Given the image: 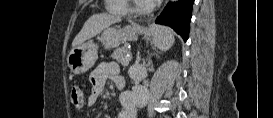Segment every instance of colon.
I'll list each match as a JSON object with an SVG mask.
<instances>
[{
    "mask_svg": "<svg viewBox=\"0 0 273 118\" xmlns=\"http://www.w3.org/2000/svg\"><path fill=\"white\" fill-rule=\"evenodd\" d=\"M70 100L74 108L80 109L84 105V93L80 86L74 85L71 89Z\"/></svg>",
    "mask_w": 273,
    "mask_h": 118,
    "instance_id": "colon-1",
    "label": "colon"
}]
</instances>
